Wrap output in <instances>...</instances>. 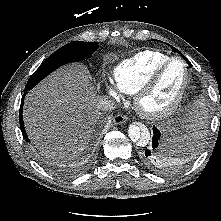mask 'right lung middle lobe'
I'll return each mask as SVG.
<instances>
[{
    "mask_svg": "<svg viewBox=\"0 0 221 221\" xmlns=\"http://www.w3.org/2000/svg\"><path fill=\"white\" fill-rule=\"evenodd\" d=\"M98 48V42H70L50 55L28 80L25 90L32 89L49 73L61 65L88 58Z\"/></svg>",
    "mask_w": 221,
    "mask_h": 221,
    "instance_id": "dd1d6c3e",
    "label": "right lung middle lobe"
}]
</instances>
